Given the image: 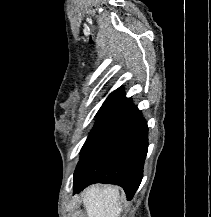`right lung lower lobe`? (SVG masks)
<instances>
[{
	"label": "right lung lower lobe",
	"instance_id": "right-lung-lower-lobe-1",
	"mask_svg": "<svg viewBox=\"0 0 211 217\" xmlns=\"http://www.w3.org/2000/svg\"><path fill=\"white\" fill-rule=\"evenodd\" d=\"M148 148V127L136 106L113 120L80 159L74 172V193L93 183L121 186L133 198L142 177Z\"/></svg>",
	"mask_w": 211,
	"mask_h": 217
}]
</instances>
